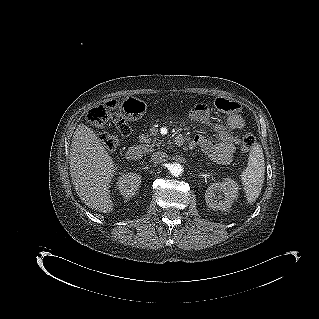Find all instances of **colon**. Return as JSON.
Instances as JSON below:
<instances>
[{"label":"colon","instance_id":"colon-1","mask_svg":"<svg viewBox=\"0 0 319 319\" xmlns=\"http://www.w3.org/2000/svg\"><path fill=\"white\" fill-rule=\"evenodd\" d=\"M214 107L226 112H236L240 109V105L238 103L225 98L216 99L214 101ZM145 109V104L137 99L128 98L122 102L111 100L91 108L87 112L86 118L91 125L97 128L102 127L109 119H112L117 124L120 132L123 135H127L130 128L125 118L139 117L144 113ZM101 140L110 150L115 149L119 144L118 137L109 133H102ZM254 141L253 136H244L241 141V151L247 152L254 144Z\"/></svg>","mask_w":319,"mask_h":319}]
</instances>
